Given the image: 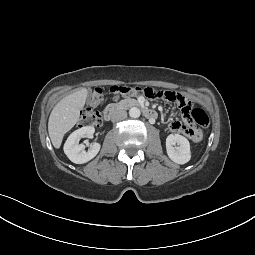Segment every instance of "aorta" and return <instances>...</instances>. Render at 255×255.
<instances>
[{"instance_id":"aorta-1","label":"aorta","mask_w":255,"mask_h":255,"mask_svg":"<svg viewBox=\"0 0 255 255\" xmlns=\"http://www.w3.org/2000/svg\"><path fill=\"white\" fill-rule=\"evenodd\" d=\"M141 112H140V109L137 108V107H132L130 110H129V115L130 117L132 118H138L140 116Z\"/></svg>"}]
</instances>
